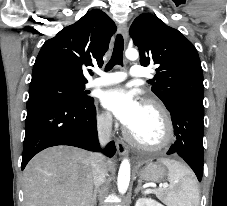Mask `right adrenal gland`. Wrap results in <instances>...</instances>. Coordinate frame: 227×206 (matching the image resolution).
I'll return each instance as SVG.
<instances>
[{"label": "right adrenal gland", "mask_w": 227, "mask_h": 206, "mask_svg": "<svg viewBox=\"0 0 227 206\" xmlns=\"http://www.w3.org/2000/svg\"><path fill=\"white\" fill-rule=\"evenodd\" d=\"M98 192H99V189H98V187H97V188H95V190H94L92 206H95V205H96V202H97V194H98Z\"/></svg>", "instance_id": "2a0ac1e0"}]
</instances>
